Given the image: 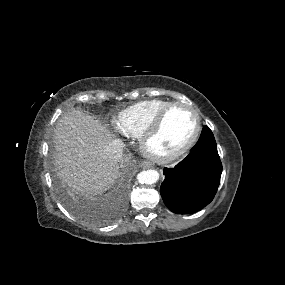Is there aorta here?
I'll use <instances>...</instances> for the list:
<instances>
[{
	"mask_svg": "<svg viewBox=\"0 0 285 285\" xmlns=\"http://www.w3.org/2000/svg\"><path fill=\"white\" fill-rule=\"evenodd\" d=\"M159 179V173L156 170H145L137 175V180L141 184H154Z\"/></svg>",
	"mask_w": 285,
	"mask_h": 285,
	"instance_id": "1",
	"label": "aorta"
}]
</instances>
